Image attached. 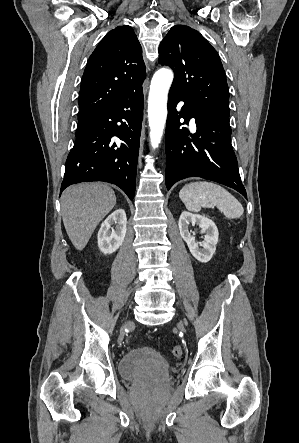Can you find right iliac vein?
<instances>
[{
	"label": "right iliac vein",
	"mask_w": 299,
	"mask_h": 443,
	"mask_svg": "<svg viewBox=\"0 0 299 443\" xmlns=\"http://www.w3.org/2000/svg\"><path fill=\"white\" fill-rule=\"evenodd\" d=\"M131 324H132V322H131V321H128V322L126 323V325H124V326L121 328V330H120V335H121V336L124 335V328H125V326H129V325H131Z\"/></svg>",
	"instance_id": "1"
}]
</instances>
